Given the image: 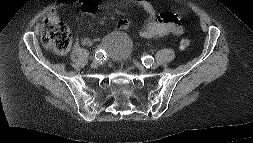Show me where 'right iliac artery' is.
Returning a JSON list of instances; mask_svg holds the SVG:
<instances>
[{
	"mask_svg": "<svg viewBox=\"0 0 253 143\" xmlns=\"http://www.w3.org/2000/svg\"><path fill=\"white\" fill-rule=\"evenodd\" d=\"M102 50H98L96 53H95V58L97 59V60H102V56H103V54H102ZM104 53V52H103Z\"/></svg>",
	"mask_w": 253,
	"mask_h": 143,
	"instance_id": "obj_1",
	"label": "right iliac artery"
}]
</instances>
